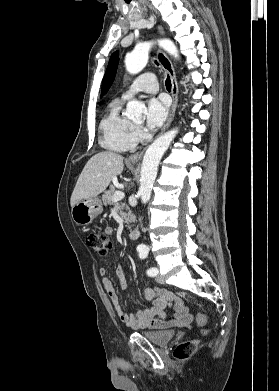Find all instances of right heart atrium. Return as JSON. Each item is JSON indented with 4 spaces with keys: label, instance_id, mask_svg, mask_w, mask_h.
<instances>
[{
    "label": "right heart atrium",
    "instance_id": "d8ad5b80",
    "mask_svg": "<svg viewBox=\"0 0 279 391\" xmlns=\"http://www.w3.org/2000/svg\"><path fill=\"white\" fill-rule=\"evenodd\" d=\"M133 133L136 139H139L142 136V129L139 126H134Z\"/></svg>",
    "mask_w": 279,
    "mask_h": 391
}]
</instances>
